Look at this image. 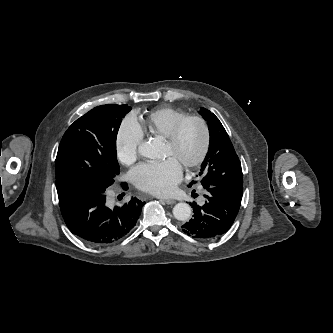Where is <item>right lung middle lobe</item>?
Wrapping results in <instances>:
<instances>
[{
    "instance_id": "right-lung-middle-lobe-1",
    "label": "right lung middle lobe",
    "mask_w": 333,
    "mask_h": 333,
    "mask_svg": "<svg viewBox=\"0 0 333 333\" xmlns=\"http://www.w3.org/2000/svg\"><path fill=\"white\" fill-rule=\"evenodd\" d=\"M127 104L95 107L65 132L56 157L58 197L73 192H105L119 173L116 138Z\"/></svg>"
}]
</instances>
